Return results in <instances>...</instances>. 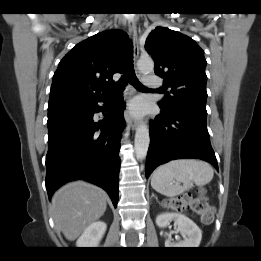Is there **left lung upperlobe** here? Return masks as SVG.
Instances as JSON below:
<instances>
[{
    "label": "left lung upper lobe",
    "mask_w": 261,
    "mask_h": 261,
    "mask_svg": "<svg viewBox=\"0 0 261 261\" xmlns=\"http://www.w3.org/2000/svg\"><path fill=\"white\" fill-rule=\"evenodd\" d=\"M146 51L154 60L155 74L171 88L158 102L162 110L186 104L206 111V60L203 50L190 37L165 27H156L148 35Z\"/></svg>",
    "instance_id": "1"
}]
</instances>
